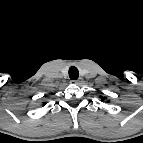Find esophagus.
Instances as JSON below:
<instances>
[{
    "label": "esophagus",
    "mask_w": 143,
    "mask_h": 143,
    "mask_svg": "<svg viewBox=\"0 0 143 143\" xmlns=\"http://www.w3.org/2000/svg\"><path fill=\"white\" fill-rule=\"evenodd\" d=\"M74 84L80 85L83 82V78H79L77 80H72Z\"/></svg>",
    "instance_id": "obj_1"
}]
</instances>
